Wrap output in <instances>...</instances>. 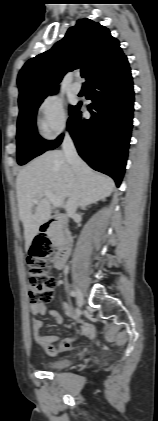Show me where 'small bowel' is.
<instances>
[{"mask_svg": "<svg viewBox=\"0 0 158 421\" xmlns=\"http://www.w3.org/2000/svg\"><path fill=\"white\" fill-rule=\"evenodd\" d=\"M63 309L68 315L73 316L79 323V334L84 336H93L95 334L94 328L90 324L82 322L67 304L63 305ZM47 311L48 307L44 303L31 304V312L35 315H45ZM49 313L57 325L62 323V317L56 310L51 309L49 310ZM42 327V321L38 319L32 320L34 340L37 343V345L44 349L46 352H48L51 355H56L57 353L67 351L71 347V344L74 340L72 336L63 339L60 342V344L56 346L55 342L57 341V336L44 334L42 332Z\"/></svg>", "mask_w": 158, "mask_h": 421, "instance_id": "small-bowel-1", "label": "small bowel"}]
</instances>
